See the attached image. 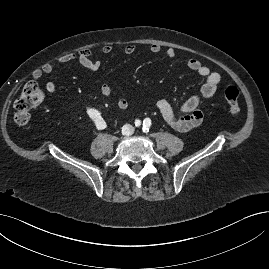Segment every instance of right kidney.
Here are the masks:
<instances>
[{
	"label": "right kidney",
	"instance_id": "obj_1",
	"mask_svg": "<svg viewBox=\"0 0 269 269\" xmlns=\"http://www.w3.org/2000/svg\"><path fill=\"white\" fill-rule=\"evenodd\" d=\"M90 117L95 119L94 126L97 129H103L106 126V121L103 118H100L97 111H89Z\"/></svg>",
	"mask_w": 269,
	"mask_h": 269
}]
</instances>
